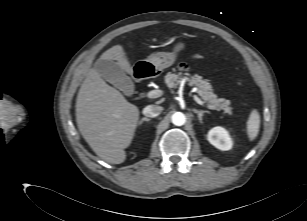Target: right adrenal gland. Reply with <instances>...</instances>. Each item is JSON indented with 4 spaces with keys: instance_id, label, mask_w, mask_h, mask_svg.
I'll return each mask as SVG.
<instances>
[{
    "instance_id": "1",
    "label": "right adrenal gland",
    "mask_w": 307,
    "mask_h": 221,
    "mask_svg": "<svg viewBox=\"0 0 307 221\" xmlns=\"http://www.w3.org/2000/svg\"><path fill=\"white\" fill-rule=\"evenodd\" d=\"M150 120H151L150 118L144 117L140 120L139 124L141 125L144 121H150Z\"/></svg>"
}]
</instances>
